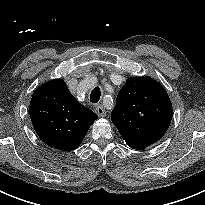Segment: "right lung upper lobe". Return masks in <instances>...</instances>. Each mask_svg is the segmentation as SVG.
Instances as JSON below:
<instances>
[{"mask_svg":"<svg viewBox=\"0 0 205 205\" xmlns=\"http://www.w3.org/2000/svg\"><path fill=\"white\" fill-rule=\"evenodd\" d=\"M29 111L40 139L48 146L62 151L79 147L89 127L98 118L73 97L61 79L49 81L37 88Z\"/></svg>","mask_w":205,"mask_h":205,"instance_id":"cb5924a9","label":"right lung upper lobe"}]
</instances>
